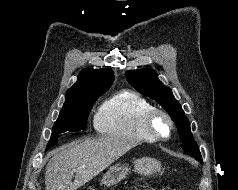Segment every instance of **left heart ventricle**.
Wrapping results in <instances>:
<instances>
[{
    "mask_svg": "<svg viewBox=\"0 0 238 190\" xmlns=\"http://www.w3.org/2000/svg\"><path fill=\"white\" fill-rule=\"evenodd\" d=\"M157 126L160 130L164 131L166 129V124L163 120H158Z\"/></svg>",
    "mask_w": 238,
    "mask_h": 190,
    "instance_id": "b2bd125f",
    "label": "left heart ventricle"
}]
</instances>
